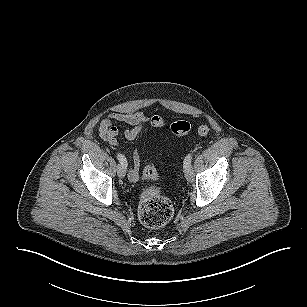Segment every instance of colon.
Instances as JSON below:
<instances>
[{"label":"colon","instance_id":"obj_1","mask_svg":"<svg viewBox=\"0 0 307 307\" xmlns=\"http://www.w3.org/2000/svg\"><path fill=\"white\" fill-rule=\"evenodd\" d=\"M171 132L175 136H184L191 130V125L186 121L174 122L170 127ZM210 132L208 125H200L197 133L200 136H206ZM143 178L146 180H156L158 178L157 169L148 163L142 172ZM173 215V205L171 201L163 196L160 190L155 186H149L143 189L139 205V220L147 227L159 228L166 225Z\"/></svg>","mask_w":307,"mask_h":307}]
</instances>
